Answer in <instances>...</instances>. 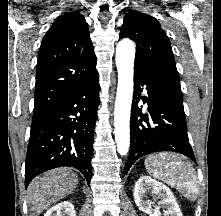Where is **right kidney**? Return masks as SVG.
Here are the masks:
<instances>
[{
	"label": "right kidney",
	"mask_w": 221,
	"mask_h": 216,
	"mask_svg": "<svg viewBox=\"0 0 221 216\" xmlns=\"http://www.w3.org/2000/svg\"><path fill=\"white\" fill-rule=\"evenodd\" d=\"M44 216H76V212L69 201H64L51 207Z\"/></svg>",
	"instance_id": "right-kidney-1"
}]
</instances>
